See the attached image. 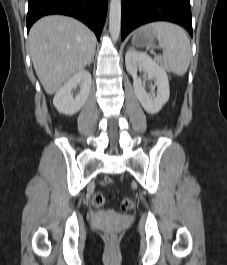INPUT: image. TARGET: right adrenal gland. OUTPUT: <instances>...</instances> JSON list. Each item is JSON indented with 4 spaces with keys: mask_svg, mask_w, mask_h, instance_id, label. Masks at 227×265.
Segmentation results:
<instances>
[{
    "mask_svg": "<svg viewBox=\"0 0 227 265\" xmlns=\"http://www.w3.org/2000/svg\"><path fill=\"white\" fill-rule=\"evenodd\" d=\"M94 55H95V53L92 55L91 60H90L89 63H88V66H90L91 63L94 61Z\"/></svg>",
    "mask_w": 227,
    "mask_h": 265,
    "instance_id": "obj_1",
    "label": "right adrenal gland"
}]
</instances>
